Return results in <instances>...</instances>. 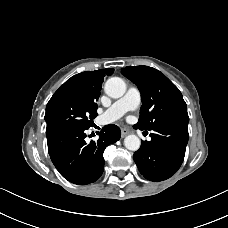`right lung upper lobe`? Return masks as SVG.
Wrapping results in <instances>:
<instances>
[{
	"instance_id": "cb5924a9",
	"label": "right lung upper lobe",
	"mask_w": 228,
	"mask_h": 228,
	"mask_svg": "<svg viewBox=\"0 0 228 228\" xmlns=\"http://www.w3.org/2000/svg\"><path fill=\"white\" fill-rule=\"evenodd\" d=\"M113 72L114 69L82 72L68 79L61 87L70 88L80 98L95 103L100 96L104 76L111 75Z\"/></svg>"
}]
</instances>
